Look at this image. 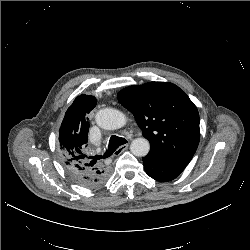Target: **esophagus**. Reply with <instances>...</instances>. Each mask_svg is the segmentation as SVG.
<instances>
[{
    "label": "esophagus",
    "instance_id": "34e87169",
    "mask_svg": "<svg viewBox=\"0 0 250 250\" xmlns=\"http://www.w3.org/2000/svg\"><path fill=\"white\" fill-rule=\"evenodd\" d=\"M128 148V144L121 145L115 152L116 155L121 154Z\"/></svg>",
    "mask_w": 250,
    "mask_h": 250
}]
</instances>
